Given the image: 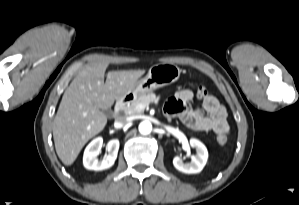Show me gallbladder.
<instances>
[{"label":"gallbladder","instance_id":"bac80fb5","mask_svg":"<svg viewBox=\"0 0 299 205\" xmlns=\"http://www.w3.org/2000/svg\"><path fill=\"white\" fill-rule=\"evenodd\" d=\"M102 112L107 116H110L112 114L111 109H105V110H102Z\"/></svg>","mask_w":299,"mask_h":205}]
</instances>
